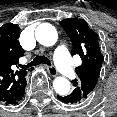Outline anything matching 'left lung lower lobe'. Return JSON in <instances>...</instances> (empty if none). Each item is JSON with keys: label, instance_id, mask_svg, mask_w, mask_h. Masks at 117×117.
<instances>
[{"label": "left lung lower lobe", "instance_id": "0a47b994", "mask_svg": "<svg viewBox=\"0 0 117 117\" xmlns=\"http://www.w3.org/2000/svg\"><path fill=\"white\" fill-rule=\"evenodd\" d=\"M57 98L65 104H77L84 101L82 96L77 91H73L69 95H64V96L58 95Z\"/></svg>", "mask_w": 117, "mask_h": 117}]
</instances>
